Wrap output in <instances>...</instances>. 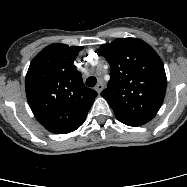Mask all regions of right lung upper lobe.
<instances>
[{
	"label": "right lung upper lobe",
	"mask_w": 187,
	"mask_h": 187,
	"mask_svg": "<svg viewBox=\"0 0 187 187\" xmlns=\"http://www.w3.org/2000/svg\"><path fill=\"white\" fill-rule=\"evenodd\" d=\"M82 47L55 43L30 63L25 88L29 106L48 131L66 134L85 121L97 92L85 87L73 62Z\"/></svg>",
	"instance_id": "right-lung-upper-lobe-1"
}]
</instances>
